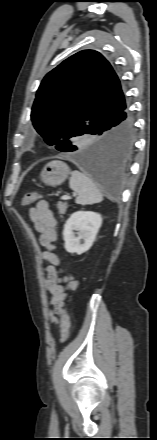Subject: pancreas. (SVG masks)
I'll list each match as a JSON object with an SVG mask.
<instances>
[{"label": "pancreas", "mask_w": 157, "mask_h": 440, "mask_svg": "<svg viewBox=\"0 0 157 440\" xmlns=\"http://www.w3.org/2000/svg\"><path fill=\"white\" fill-rule=\"evenodd\" d=\"M67 207H68L67 204L63 202H59L57 204V208L61 217H63V215L65 214Z\"/></svg>", "instance_id": "obj_1"}]
</instances>
